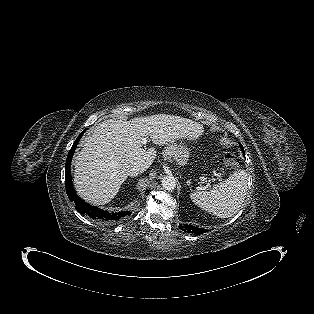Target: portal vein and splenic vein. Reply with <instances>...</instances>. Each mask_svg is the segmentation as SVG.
Returning <instances> with one entry per match:
<instances>
[{"label": "portal vein and splenic vein", "mask_w": 314, "mask_h": 314, "mask_svg": "<svg viewBox=\"0 0 314 314\" xmlns=\"http://www.w3.org/2000/svg\"><path fill=\"white\" fill-rule=\"evenodd\" d=\"M146 143H147V140L143 139V144H146ZM217 176H219V175L217 174Z\"/></svg>", "instance_id": "obj_1"}]
</instances>
